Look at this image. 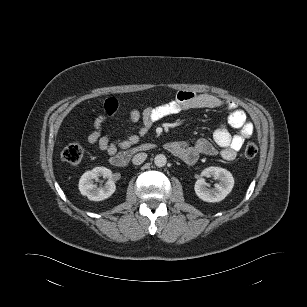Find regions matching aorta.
<instances>
[{
	"label": "aorta",
	"instance_id": "1",
	"mask_svg": "<svg viewBox=\"0 0 307 307\" xmlns=\"http://www.w3.org/2000/svg\"><path fill=\"white\" fill-rule=\"evenodd\" d=\"M154 163H155V165L158 166V167H163V166H165L166 163H167V158H166V156L163 155V154H158V155H156L155 158H154Z\"/></svg>",
	"mask_w": 307,
	"mask_h": 307
}]
</instances>
